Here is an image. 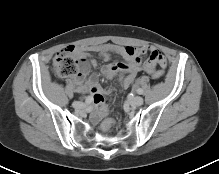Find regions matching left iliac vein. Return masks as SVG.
<instances>
[{
  "instance_id": "1",
  "label": "left iliac vein",
  "mask_w": 219,
  "mask_h": 174,
  "mask_svg": "<svg viewBox=\"0 0 219 174\" xmlns=\"http://www.w3.org/2000/svg\"><path fill=\"white\" fill-rule=\"evenodd\" d=\"M144 102V99L141 96H135L130 100L132 106H141Z\"/></svg>"
}]
</instances>
